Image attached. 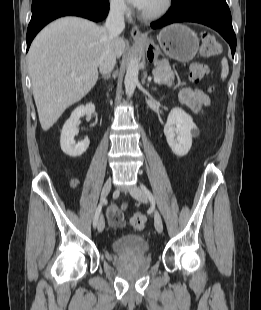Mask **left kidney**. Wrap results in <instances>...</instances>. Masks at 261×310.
<instances>
[{"instance_id":"1","label":"left kidney","mask_w":261,"mask_h":310,"mask_svg":"<svg viewBox=\"0 0 261 310\" xmlns=\"http://www.w3.org/2000/svg\"><path fill=\"white\" fill-rule=\"evenodd\" d=\"M197 132L198 128L190 115L178 107L171 110L164 126V134L176 156L183 157L189 152L192 146V137Z\"/></svg>"}]
</instances>
